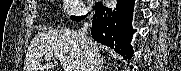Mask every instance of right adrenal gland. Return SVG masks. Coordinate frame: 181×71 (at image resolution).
<instances>
[{
	"mask_svg": "<svg viewBox=\"0 0 181 71\" xmlns=\"http://www.w3.org/2000/svg\"><path fill=\"white\" fill-rule=\"evenodd\" d=\"M103 64H104V61H103V59H102V60H101V66H100L101 70H100V71H103V70H104Z\"/></svg>",
	"mask_w": 181,
	"mask_h": 71,
	"instance_id": "2a0ac1e0",
	"label": "right adrenal gland"
}]
</instances>
